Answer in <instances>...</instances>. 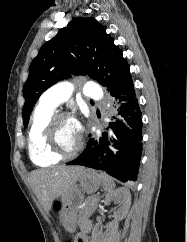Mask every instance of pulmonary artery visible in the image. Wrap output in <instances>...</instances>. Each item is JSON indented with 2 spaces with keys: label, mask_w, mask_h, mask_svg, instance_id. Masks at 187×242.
<instances>
[{
  "label": "pulmonary artery",
  "mask_w": 187,
  "mask_h": 242,
  "mask_svg": "<svg viewBox=\"0 0 187 242\" xmlns=\"http://www.w3.org/2000/svg\"><path fill=\"white\" fill-rule=\"evenodd\" d=\"M73 91V86L69 82L58 83L49 88L41 97V103L52 108H57L66 101ZM83 93L85 96L97 99L100 96L101 89L94 82H86L83 85Z\"/></svg>",
  "instance_id": "obj_1"
}]
</instances>
